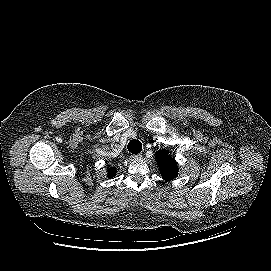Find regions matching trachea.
I'll list each match as a JSON object with an SVG mask.
<instances>
[{"label": "trachea", "instance_id": "obj_1", "mask_svg": "<svg viewBox=\"0 0 271 271\" xmlns=\"http://www.w3.org/2000/svg\"><path fill=\"white\" fill-rule=\"evenodd\" d=\"M128 150L130 153L132 154H138L141 152L142 150V143L139 141V140H131L129 143H128Z\"/></svg>", "mask_w": 271, "mask_h": 271}]
</instances>
